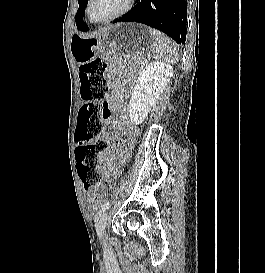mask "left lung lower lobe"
<instances>
[{
  "instance_id": "0a47b994",
  "label": "left lung lower lobe",
  "mask_w": 265,
  "mask_h": 273,
  "mask_svg": "<svg viewBox=\"0 0 265 273\" xmlns=\"http://www.w3.org/2000/svg\"><path fill=\"white\" fill-rule=\"evenodd\" d=\"M135 7L113 21L138 22L158 29L184 45L187 33V0H136ZM81 31H88L85 24Z\"/></svg>"
}]
</instances>
